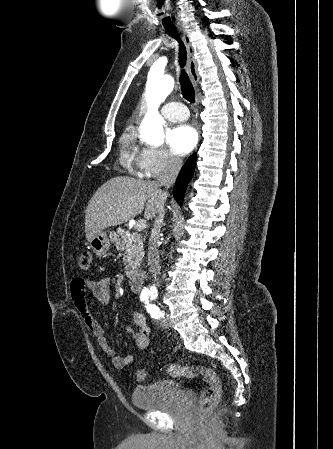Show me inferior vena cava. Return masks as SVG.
<instances>
[{
	"instance_id": "inferior-vena-cava-1",
	"label": "inferior vena cava",
	"mask_w": 333,
	"mask_h": 449,
	"mask_svg": "<svg viewBox=\"0 0 333 449\" xmlns=\"http://www.w3.org/2000/svg\"><path fill=\"white\" fill-rule=\"evenodd\" d=\"M181 167H182V160L179 157L171 155L167 167L165 168L162 175L159 176L157 184L159 186L169 188L175 182ZM163 218H164V209L163 207H161L158 211L157 217L155 218L148 246L149 270L154 278V282H157V284L159 281V276L161 274L158 244L160 240Z\"/></svg>"
}]
</instances>
